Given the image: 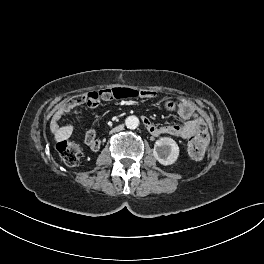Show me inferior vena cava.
Here are the masks:
<instances>
[{"label":"inferior vena cava","mask_w":264,"mask_h":264,"mask_svg":"<svg viewBox=\"0 0 264 264\" xmlns=\"http://www.w3.org/2000/svg\"><path fill=\"white\" fill-rule=\"evenodd\" d=\"M124 129V126L121 124V125H119V126H117V127H114L113 129H111L109 132L111 133V134H113V133H117V132H119V131H121V130H123Z\"/></svg>","instance_id":"obj_1"}]
</instances>
